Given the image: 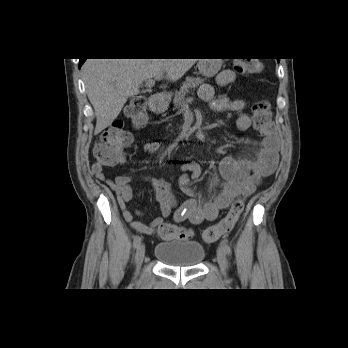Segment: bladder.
<instances>
[{"instance_id": "bladder-1", "label": "bladder", "mask_w": 348, "mask_h": 348, "mask_svg": "<svg viewBox=\"0 0 348 348\" xmlns=\"http://www.w3.org/2000/svg\"><path fill=\"white\" fill-rule=\"evenodd\" d=\"M154 257L167 266L192 267L203 261L205 248L195 241L172 240L157 244Z\"/></svg>"}]
</instances>
